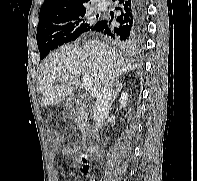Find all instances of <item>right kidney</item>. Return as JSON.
Wrapping results in <instances>:
<instances>
[{
	"mask_svg": "<svg viewBox=\"0 0 197 181\" xmlns=\"http://www.w3.org/2000/svg\"><path fill=\"white\" fill-rule=\"evenodd\" d=\"M128 96L127 92H122L121 98L119 99L121 107L125 108L127 106Z\"/></svg>",
	"mask_w": 197,
	"mask_h": 181,
	"instance_id": "1",
	"label": "right kidney"
}]
</instances>
